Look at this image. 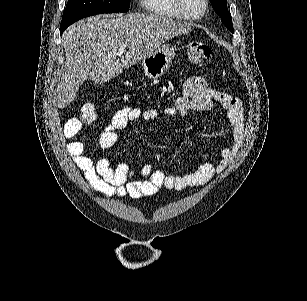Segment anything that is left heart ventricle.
<instances>
[{
    "label": "left heart ventricle",
    "mask_w": 307,
    "mask_h": 301,
    "mask_svg": "<svg viewBox=\"0 0 307 301\" xmlns=\"http://www.w3.org/2000/svg\"><path fill=\"white\" fill-rule=\"evenodd\" d=\"M181 2L185 5L184 7L186 8V11L184 13H192L193 11H196L198 13L199 0H184Z\"/></svg>",
    "instance_id": "1"
}]
</instances>
